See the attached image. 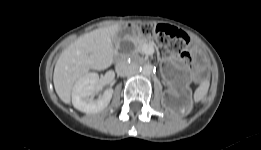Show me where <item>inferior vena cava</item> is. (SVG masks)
I'll return each instance as SVG.
<instances>
[{
  "label": "inferior vena cava",
  "instance_id": "obj_1",
  "mask_svg": "<svg viewBox=\"0 0 261 150\" xmlns=\"http://www.w3.org/2000/svg\"><path fill=\"white\" fill-rule=\"evenodd\" d=\"M137 66L135 64L128 63L126 61H121L116 65V72L121 77H126L134 74L137 71Z\"/></svg>",
  "mask_w": 261,
  "mask_h": 150
}]
</instances>
